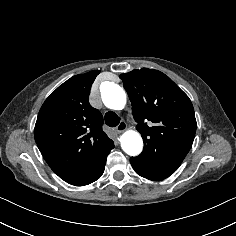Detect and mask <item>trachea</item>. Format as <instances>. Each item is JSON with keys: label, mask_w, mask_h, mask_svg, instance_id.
Here are the masks:
<instances>
[{"label": "trachea", "mask_w": 236, "mask_h": 236, "mask_svg": "<svg viewBox=\"0 0 236 236\" xmlns=\"http://www.w3.org/2000/svg\"><path fill=\"white\" fill-rule=\"evenodd\" d=\"M105 123L110 127H115L120 123V117L116 113L109 111L105 114Z\"/></svg>", "instance_id": "1"}]
</instances>
